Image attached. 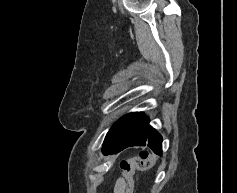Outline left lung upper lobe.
Listing matches in <instances>:
<instances>
[{"label":"left lung upper lobe","mask_w":237,"mask_h":193,"mask_svg":"<svg viewBox=\"0 0 237 193\" xmlns=\"http://www.w3.org/2000/svg\"><path fill=\"white\" fill-rule=\"evenodd\" d=\"M131 115H132V113L124 115L117 122H115L113 124V126L110 128L109 132L107 133V135L105 137L102 149L107 148V147L115 144L118 141V139L120 138V136L126 129L128 123L130 121Z\"/></svg>","instance_id":"obj_1"}]
</instances>
